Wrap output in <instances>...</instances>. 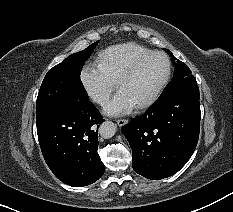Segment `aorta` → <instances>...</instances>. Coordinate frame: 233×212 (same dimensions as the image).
<instances>
[{
    "label": "aorta",
    "mask_w": 233,
    "mask_h": 212,
    "mask_svg": "<svg viewBox=\"0 0 233 212\" xmlns=\"http://www.w3.org/2000/svg\"><path fill=\"white\" fill-rule=\"evenodd\" d=\"M116 132V125L111 121H105L101 124L99 128L100 135L105 138L109 139L114 136Z\"/></svg>",
    "instance_id": "obj_1"
}]
</instances>
